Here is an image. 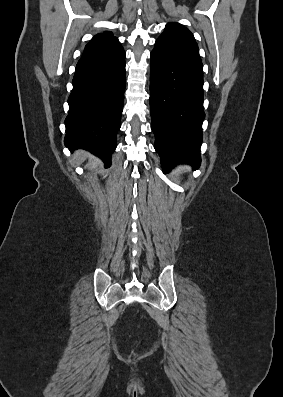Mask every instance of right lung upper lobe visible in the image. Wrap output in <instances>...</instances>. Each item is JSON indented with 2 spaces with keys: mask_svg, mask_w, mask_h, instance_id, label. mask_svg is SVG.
Instances as JSON below:
<instances>
[{
  "mask_svg": "<svg viewBox=\"0 0 283 397\" xmlns=\"http://www.w3.org/2000/svg\"><path fill=\"white\" fill-rule=\"evenodd\" d=\"M125 57V52L112 32L95 35L86 45L76 70L113 63Z\"/></svg>",
  "mask_w": 283,
  "mask_h": 397,
  "instance_id": "1",
  "label": "right lung upper lobe"
}]
</instances>
